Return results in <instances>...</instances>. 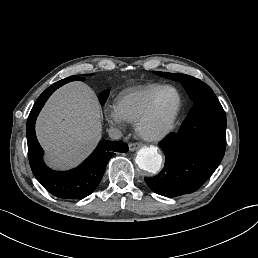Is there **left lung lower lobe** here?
Segmentation results:
<instances>
[{"label": "left lung lower lobe", "mask_w": 258, "mask_h": 258, "mask_svg": "<svg viewBox=\"0 0 258 258\" xmlns=\"http://www.w3.org/2000/svg\"><path fill=\"white\" fill-rule=\"evenodd\" d=\"M166 158L161 172L145 178L149 188L162 196L192 193L219 166L226 146V127L211 123L195 125L170 134L160 144Z\"/></svg>", "instance_id": "left-lung-lower-lobe-1"}]
</instances>
